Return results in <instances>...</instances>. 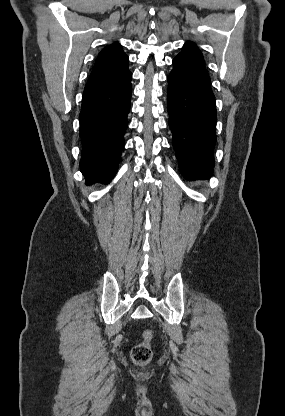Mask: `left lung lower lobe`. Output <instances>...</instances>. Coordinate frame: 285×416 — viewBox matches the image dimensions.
<instances>
[{
  "label": "left lung lower lobe",
  "instance_id": "left-lung-lower-lobe-1",
  "mask_svg": "<svg viewBox=\"0 0 285 416\" xmlns=\"http://www.w3.org/2000/svg\"><path fill=\"white\" fill-rule=\"evenodd\" d=\"M167 80L169 127L181 172L186 179L211 177L217 115L208 72L196 61L176 56Z\"/></svg>",
  "mask_w": 285,
  "mask_h": 416
}]
</instances>
